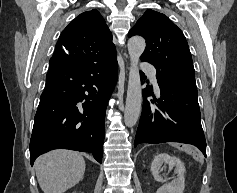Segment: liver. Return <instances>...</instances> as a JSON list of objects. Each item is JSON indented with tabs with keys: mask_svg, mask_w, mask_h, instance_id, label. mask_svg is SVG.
I'll list each match as a JSON object with an SVG mask.
<instances>
[{
	"mask_svg": "<svg viewBox=\"0 0 237 193\" xmlns=\"http://www.w3.org/2000/svg\"><path fill=\"white\" fill-rule=\"evenodd\" d=\"M85 167L82 155L70 150L48 152L34 163L37 180L44 193H64L80 182Z\"/></svg>",
	"mask_w": 237,
	"mask_h": 193,
	"instance_id": "6515ba94",
	"label": "liver"
}]
</instances>
